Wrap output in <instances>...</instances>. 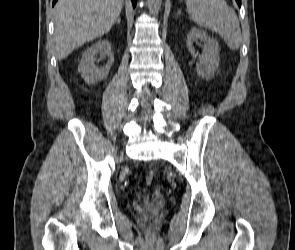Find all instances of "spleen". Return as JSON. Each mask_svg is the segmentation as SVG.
<instances>
[{
	"instance_id": "spleen-1",
	"label": "spleen",
	"mask_w": 295,
	"mask_h": 250,
	"mask_svg": "<svg viewBox=\"0 0 295 250\" xmlns=\"http://www.w3.org/2000/svg\"><path fill=\"white\" fill-rule=\"evenodd\" d=\"M188 13L197 25L219 33L227 46L235 51L241 44L237 15L225 0H186Z\"/></svg>"
}]
</instances>
